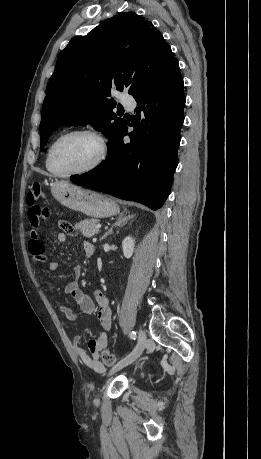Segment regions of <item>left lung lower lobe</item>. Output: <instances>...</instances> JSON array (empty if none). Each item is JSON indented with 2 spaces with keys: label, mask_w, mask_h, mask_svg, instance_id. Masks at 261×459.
<instances>
[{
  "label": "left lung lower lobe",
  "mask_w": 261,
  "mask_h": 459,
  "mask_svg": "<svg viewBox=\"0 0 261 459\" xmlns=\"http://www.w3.org/2000/svg\"><path fill=\"white\" fill-rule=\"evenodd\" d=\"M138 103L130 126L117 134L106 160L80 176L75 184L159 209L167 199L178 164L184 122L183 79L176 60L153 85L134 97ZM128 135L131 142L125 144Z\"/></svg>",
  "instance_id": "obj_1"
}]
</instances>
